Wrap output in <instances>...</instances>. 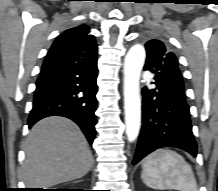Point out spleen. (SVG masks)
I'll return each instance as SVG.
<instances>
[{
  "label": "spleen",
  "mask_w": 218,
  "mask_h": 191,
  "mask_svg": "<svg viewBox=\"0 0 218 191\" xmlns=\"http://www.w3.org/2000/svg\"><path fill=\"white\" fill-rule=\"evenodd\" d=\"M142 180L157 190L198 191L191 166L175 151L162 148L145 158Z\"/></svg>",
  "instance_id": "obj_1"
}]
</instances>
